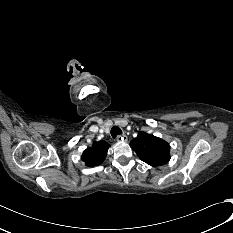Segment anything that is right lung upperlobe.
Wrapping results in <instances>:
<instances>
[{
	"label": "right lung upper lobe",
	"instance_id": "1",
	"mask_svg": "<svg viewBox=\"0 0 233 233\" xmlns=\"http://www.w3.org/2000/svg\"><path fill=\"white\" fill-rule=\"evenodd\" d=\"M109 144L106 141L95 142L92 147L87 148L82 154V160L86 166L94 167L100 165L107 154Z\"/></svg>",
	"mask_w": 233,
	"mask_h": 233
}]
</instances>
